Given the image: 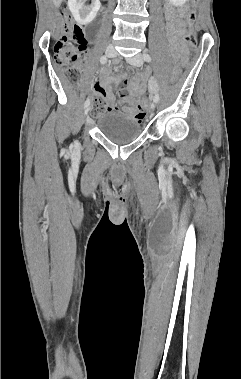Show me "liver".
Returning <instances> with one entry per match:
<instances>
[{"mask_svg":"<svg viewBox=\"0 0 241 379\" xmlns=\"http://www.w3.org/2000/svg\"><path fill=\"white\" fill-rule=\"evenodd\" d=\"M53 2H54V4H55L56 6H58V5L62 2V0H53Z\"/></svg>","mask_w":241,"mask_h":379,"instance_id":"6515ba94","label":"liver"}]
</instances>
